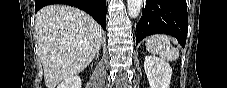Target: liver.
<instances>
[{
    "label": "liver",
    "instance_id": "liver-1",
    "mask_svg": "<svg viewBox=\"0 0 227 88\" xmlns=\"http://www.w3.org/2000/svg\"><path fill=\"white\" fill-rule=\"evenodd\" d=\"M103 30L87 13L68 5L37 12L35 35L47 88L83 71L99 52Z\"/></svg>",
    "mask_w": 227,
    "mask_h": 88
}]
</instances>
